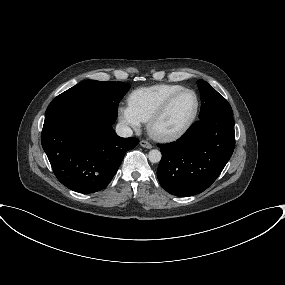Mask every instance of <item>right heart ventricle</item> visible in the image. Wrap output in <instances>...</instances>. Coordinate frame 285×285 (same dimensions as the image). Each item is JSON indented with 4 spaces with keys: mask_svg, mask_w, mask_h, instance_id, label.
<instances>
[{
    "mask_svg": "<svg viewBox=\"0 0 285 285\" xmlns=\"http://www.w3.org/2000/svg\"><path fill=\"white\" fill-rule=\"evenodd\" d=\"M181 89L182 86L172 84L139 88L129 95L128 103L141 122H147L168 97Z\"/></svg>",
    "mask_w": 285,
    "mask_h": 285,
    "instance_id": "e07e8e85",
    "label": "right heart ventricle"
}]
</instances>
